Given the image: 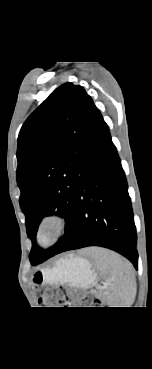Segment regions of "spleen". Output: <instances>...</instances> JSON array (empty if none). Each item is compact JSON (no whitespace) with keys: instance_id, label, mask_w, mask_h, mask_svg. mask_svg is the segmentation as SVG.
Wrapping results in <instances>:
<instances>
[{"instance_id":"3e777b00","label":"spleen","mask_w":152,"mask_h":369,"mask_svg":"<svg viewBox=\"0 0 152 369\" xmlns=\"http://www.w3.org/2000/svg\"><path fill=\"white\" fill-rule=\"evenodd\" d=\"M92 256L97 268L109 278L107 293L109 303L112 305H129L135 287L131 264L119 254L106 249L94 248Z\"/></svg>"}]
</instances>
